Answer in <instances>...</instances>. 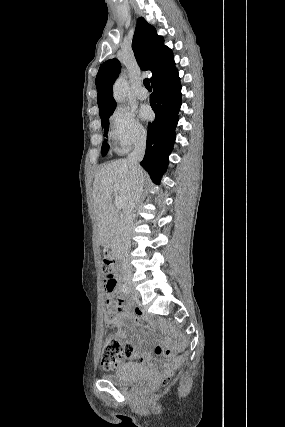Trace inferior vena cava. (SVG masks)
Returning a JSON list of instances; mask_svg holds the SVG:
<instances>
[{
	"label": "inferior vena cava",
	"mask_w": 285,
	"mask_h": 427,
	"mask_svg": "<svg viewBox=\"0 0 285 427\" xmlns=\"http://www.w3.org/2000/svg\"><path fill=\"white\" fill-rule=\"evenodd\" d=\"M146 150V136L141 135L137 138L134 150L128 155L127 162L131 169L134 186L128 204L124 208L123 226H122V249L124 260L122 264L123 271L127 274L131 273L130 265L127 256L131 247V231L134 224V208L139 201L144 186V174L140 166V161L143 159Z\"/></svg>",
	"instance_id": "obj_1"
}]
</instances>
